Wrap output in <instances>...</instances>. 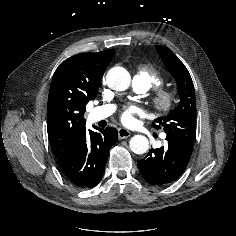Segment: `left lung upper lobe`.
I'll return each mask as SVG.
<instances>
[{
	"mask_svg": "<svg viewBox=\"0 0 236 236\" xmlns=\"http://www.w3.org/2000/svg\"><path fill=\"white\" fill-rule=\"evenodd\" d=\"M156 49L176 80L180 103L165 117L155 119L152 126L155 129L163 128L167 140L191 151L196 136V100L191 76L169 48L157 46Z\"/></svg>",
	"mask_w": 236,
	"mask_h": 236,
	"instance_id": "obj_1",
	"label": "left lung upper lobe"
}]
</instances>
